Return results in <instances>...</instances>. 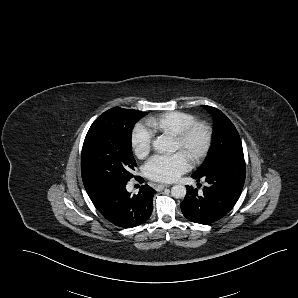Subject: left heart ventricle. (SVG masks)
Masks as SVG:
<instances>
[{
  "label": "left heart ventricle",
  "mask_w": 298,
  "mask_h": 298,
  "mask_svg": "<svg viewBox=\"0 0 298 298\" xmlns=\"http://www.w3.org/2000/svg\"><path fill=\"white\" fill-rule=\"evenodd\" d=\"M199 142V134L194 133L189 136L187 139L181 142L173 141V140H162V150L167 152H177L179 153L185 160L193 154L195 149L198 146Z\"/></svg>",
  "instance_id": "b2bd125f"
}]
</instances>
